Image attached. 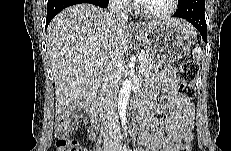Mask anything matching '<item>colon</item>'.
<instances>
[{
    "label": "colon",
    "mask_w": 231,
    "mask_h": 151,
    "mask_svg": "<svg viewBox=\"0 0 231 151\" xmlns=\"http://www.w3.org/2000/svg\"><path fill=\"white\" fill-rule=\"evenodd\" d=\"M198 73L197 64L190 59L184 60L179 69V87L180 96L192 100L195 97V79ZM74 112L65 110L60 112L56 118L55 137L57 151H85L77 142L70 138V129ZM180 151H191V144L185 141Z\"/></svg>",
    "instance_id": "5ec220e1"
}]
</instances>
